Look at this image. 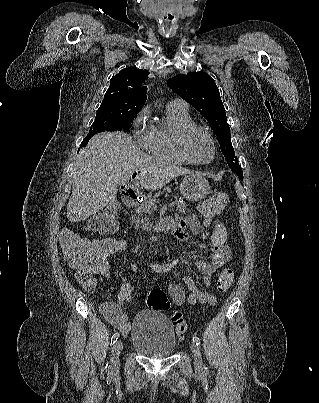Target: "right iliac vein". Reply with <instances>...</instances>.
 <instances>
[{
	"mask_svg": "<svg viewBox=\"0 0 319 403\" xmlns=\"http://www.w3.org/2000/svg\"><path fill=\"white\" fill-rule=\"evenodd\" d=\"M122 348H123L122 341H117L113 346L111 354V370L113 372H116L119 368V355L122 351Z\"/></svg>",
	"mask_w": 319,
	"mask_h": 403,
	"instance_id": "obj_1",
	"label": "right iliac vein"
}]
</instances>
